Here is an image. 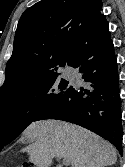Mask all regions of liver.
<instances>
[{
    "label": "liver",
    "instance_id": "6515ba94",
    "mask_svg": "<svg viewBox=\"0 0 125 167\" xmlns=\"http://www.w3.org/2000/svg\"><path fill=\"white\" fill-rule=\"evenodd\" d=\"M34 142L22 149L29 162L50 167L54 157L68 158L71 167H105L117 160L115 147L95 133L78 125L42 120L31 123L23 132Z\"/></svg>",
    "mask_w": 125,
    "mask_h": 167
}]
</instances>
